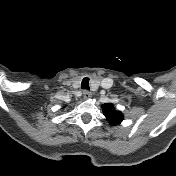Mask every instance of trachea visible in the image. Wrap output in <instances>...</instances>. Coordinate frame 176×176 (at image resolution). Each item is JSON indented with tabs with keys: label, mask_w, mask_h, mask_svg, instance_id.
<instances>
[{
	"label": "trachea",
	"mask_w": 176,
	"mask_h": 176,
	"mask_svg": "<svg viewBox=\"0 0 176 176\" xmlns=\"http://www.w3.org/2000/svg\"><path fill=\"white\" fill-rule=\"evenodd\" d=\"M81 88L85 90H89V78H83L81 82Z\"/></svg>",
	"instance_id": "3493384b"
}]
</instances>
